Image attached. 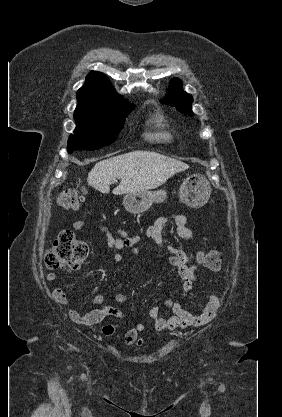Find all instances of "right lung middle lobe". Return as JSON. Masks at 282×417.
<instances>
[{
	"instance_id": "1",
	"label": "right lung middle lobe",
	"mask_w": 282,
	"mask_h": 417,
	"mask_svg": "<svg viewBox=\"0 0 282 417\" xmlns=\"http://www.w3.org/2000/svg\"><path fill=\"white\" fill-rule=\"evenodd\" d=\"M76 129L68 139V152L95 150L117 138L128 114L134 109L122 97L77 98Z\"/></svg>"
}]
</instances>
